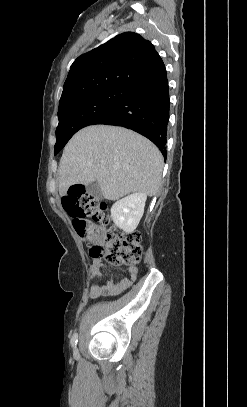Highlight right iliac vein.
<instances>
[{
    "mask_svg": "<svg viewBox=\"0 0 247 407\" xmlns=\"http://www.w3.org/2000/svg\"><path fill=\"white\" fill-rule=\"evenodd\" d=\"M74 353H77V350H76V349L74 350Z\"/></svg>",
    "mask_w": 247,
    "mask_h": 407,
    "instance_id": "right-iliac-vein-1",
    "label": "right iliac vein"
}]
</instances>
